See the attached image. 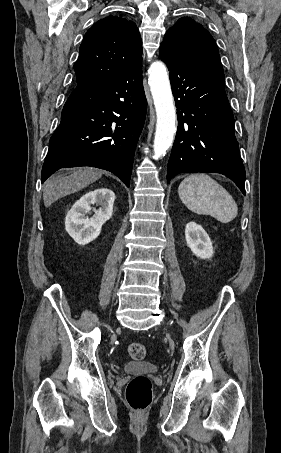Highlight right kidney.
<instances>
[{
    "instance_id": "right-kidney-1",
    "label": "right kidney",
    "mask_w": 281,
    "mask_h": 453,
    "mask_svg": "<svg viewBox=\"0 0 281 453\" xmlns=\"http://www.w3.org/2000/svg\"><path fill=\"white\" fill-rule=\"evenodd\" d=\"M114 200L115 194L110 188H95L74 202L65 216V229L75 243L87 245L99 237L102 224L112 216ZM91 204H99V208ZM89 210L95 212L91 218L86 216Z\"/></svg>"
}]
</instances>
